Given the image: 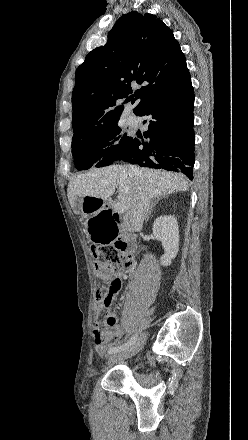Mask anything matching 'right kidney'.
<instances>
[{
    "label": "right kidney",
    "instance_id": "obj_1",
    "mask_svg": "<svg viewBox=\"0 0 248 440\" xmlns=\"http://www.w3.org/2000/svg\"><path fill=\"white\" fill-rule=\"evenodd\" d=\"M153 234L162 242L161 265L169 266L179 251V227L174 216H160L153 223Z\"/></svg>",
    "mask_w": 248,
    "mask_h": 440
}]
</instances>
